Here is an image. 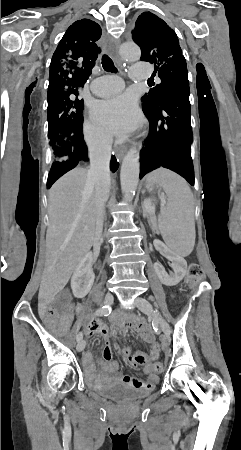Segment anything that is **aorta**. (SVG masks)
I'll return each mask as SVG.
<instances>
[{"instance_id": "1", "label": "aorta", "mask_w": 241, "mask_h": 450, "mask_svg": "<svg viewBox=\"0 0 241 450\" xmlns=\"http://www.w3.org/2000/svg\"><path fill=\"white\" fill-rule=\"evenodd\" d=\"M120 54L127 60L136 61L140 59L141 51L134 43H124L120 47ZM139 174V152L133 147L125 155L120 171L121 190L124 200L130 202L133 199L138 186Z\"/></svg>"}]
</instances>
